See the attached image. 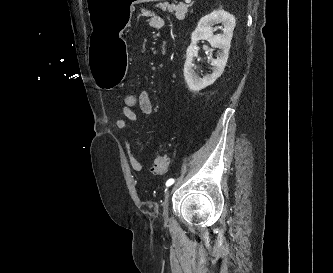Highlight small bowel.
Masks as SVG:
<instances>
[{"instance_id": "c3829d8e", "label": "small bowel", "mask_w": 333, "mask_h": 273, "mask_svg": "<svg viewBox=\"0 0 333 273\" xmlns=\"http://www.w3.org/2000/svg\"><path fill=\"white\" fill-rule=\"evenodd\" d=\"M144 13L150 17V26L153 29L162 30L163 28L166 27V22L164 21V19L161 18L160 16L156 15L151 10L145 9ZM136 104H137V108L141 111L144 118H148L153 114V105L151 102L149 91L147 89L140 90L139 94L137 95ZM121 113H122L123 117L129 121H132V122H141L142 121V118L137 113H135L133 111V109H123L122 108ZM125 119L116 120L115 126L120 130L126 129L128 127V123ZM126 151H127L128 161H129L131 168L135 172H142L143 165L135 156L133 149H132V144L130 141H126Z\"/></svg>"}]
</instances>
